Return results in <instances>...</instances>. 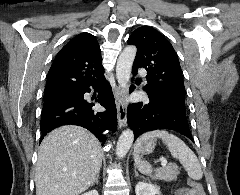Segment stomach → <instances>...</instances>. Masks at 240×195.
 <instances>
[{"mask_svg": "<svg viewBox=\"0 0 240 195\" xmlns=\"http://www.w3.org/2000/svg\"><path fill=\"white\" fill-rule=\"evenodd\" d=\"M156 139L155 137H149V139H144V141H139L137 145L138 153L141 155H146V153H152L153 149H155Z\"/></svg>", "mask_w": 240, "mask_h": 195, "instance_id": "0dacf381", "label": "stomach"}]
</instances>
